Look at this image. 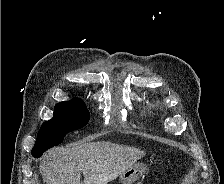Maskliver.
<instances>
[{
    "label": "liver",
    "mask_w": 224,
    "mask_h": 184,
    "mask_svg": "<svg viewBox=\"0 0 224 184\" xmlns=\"http://www.w3.org/2000/svg\"><path fill=\"white\" fill-rule=\"evenodd\" d=\"M145 156L139 149L110 142H89L58 147L41 159L40 173L46 184H107Z\"/></svg>",
    "instance_id": "1"
}]
</instances>
